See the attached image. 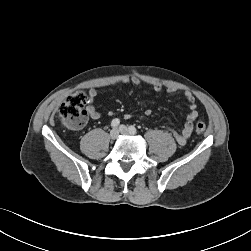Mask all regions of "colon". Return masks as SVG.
I'll use <instances>...</instances> for the list:
<instances>
[{
	"label": "colon",
	"mask_w": 251,
	"mask_h": 251,
	"mask_svg": "<svg viewBox=\"0 0 251 251\" xmlns=\"http://www.w3.org/2000/svg\"><path fill=\"white\" fill-rule=\"evenodd\" d=\"M87 101L88 96L83 91L70 94L60 106L59 119L72 129L83 127L87 121V111L85 110ZM195 130L197 134H204L206 125L202 121H198Z\"/></svg>",
	"instance_id": "5ec220e1"
}]
</instances>
